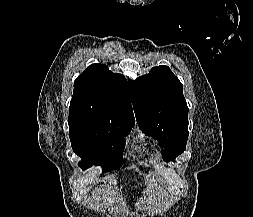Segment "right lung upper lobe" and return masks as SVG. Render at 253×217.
<instances>
[{"label": "right lung upper lobe", "instance_id": "1", "mask_svg": "<svg viewBox=\"0 0 253 217\" xmlns=\"http://www.w3.org/2000/svg\"><path fill=\"white\" fill-rule=\"evenodd\" d=\"M131 88L106 65L92 64L74 81L69 116L135 122Z\"/></svg>", "mask_w": 253, "mask_h": 217}]
</instances>
